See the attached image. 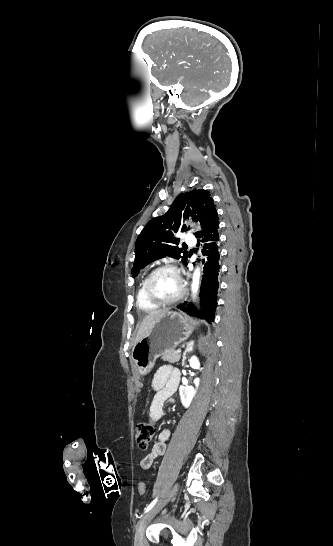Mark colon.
Returning <instances> with one entry per match:
<instances>
[{
  "label": "colon",
  "instance_id": "colon-1",
  "mask_svg": "<svg viewBox=\"0 0 333 546\" xmlns=\"http://www.w3.org/2000/svg\"><path fill=\"white\" fill-rule=\"evenodd\" d=\"M155 433L153 422H141L136 427V443L140 450H146L152 442ZM146 486L143 482L138 484V492L140 495L145 493Z\"/></svg>",
  "mask_w": 333,
  "mask_h": 546
}]
</instances>
